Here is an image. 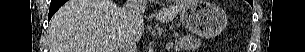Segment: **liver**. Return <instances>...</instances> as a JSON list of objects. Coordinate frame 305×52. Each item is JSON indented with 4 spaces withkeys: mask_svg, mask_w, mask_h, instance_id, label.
Segmentation results:
<instances>
[{
    "mask_svg": "<svg viewBox=\"0 0 305 52\" xmlns=\"http://www.w3.org/2000/svg\"><path fill=\"white\" fill-rule=\"evenodd\" d=\"M191 1L161 10L156 19L173 20ZM144 32L141 18L126 24L122 9L111 0H69L52 17L48 30L49 52H117L124 34L138 41Z\"/></svg>",
    "mask_w": 305,
    "mask_h": 52,
    "instance_id": "liver-1",
    "label": "liver"
}]
</instances>
